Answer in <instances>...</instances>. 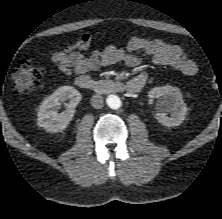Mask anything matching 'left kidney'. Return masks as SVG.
Instances as JSON below:
<instances>
[{"label": "left kidney", "instance_id": "left-kidney-1", "mask_svg": "<svg viewBox=\"0 0 222 219\" xmlns=\"http://www.w3.org/2000/svg\"><path fill=\"white\" fill-rule=\"evenodd\" d=\"M150 98H160L155 114L159 123L167 127L180 125L186 118L187 107L183 101L182 93L170 85L155 87L148 93ZM170 116H167V114Z\"/></svg>", "mask_w": 222, "mask_h": 219}]
</instances>
